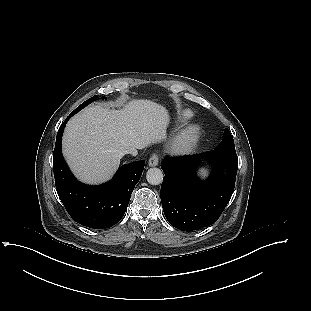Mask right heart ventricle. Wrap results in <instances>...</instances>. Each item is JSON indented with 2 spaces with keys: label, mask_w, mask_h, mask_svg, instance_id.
<instances>
[{
  "label": "right heart ventricle",
  "mask_w": 311,
  "mask_h": 311,
  "mask_svg": "<svg viewBox=\"0 0 311 311\" xmlns=\"http://www.w3.org/2000/svg\"><path fill=\"white\" fill-rule=\"evenodd\" d=\"M192 115H193L192 111H190L188 109L181 110L178 113V121L182 122V123L186 122V121H188L192 117Z\"/></svg>",
  "instance_id": "e07e8e85"
}]
</instances>
